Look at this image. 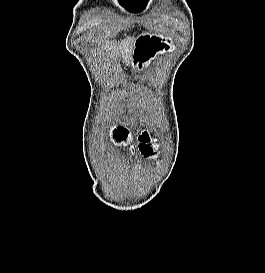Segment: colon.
<instances>
[{"label": "colon", "mask_w": 265, "mask_h": 273, "mask_svg": "<svg viewBox=\"0 0 265 273\" xmlns=\"http://www.w3.org/2000/svg\"><path fill=\"white\" fill-rule=\"evenodd\" d=\"M155 124H158V121H155Z\"/></svg>", "instance_id": "1"}]
</instances>
